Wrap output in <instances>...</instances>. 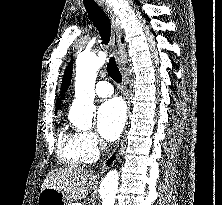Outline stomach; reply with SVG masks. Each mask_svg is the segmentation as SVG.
<instances>
[{"label": "stomach", "mask_w": 222, "mask_h": 205, "mask_svg": "<svg viewBox=\"0 0 222 205\" xmlns=\"http://www.w3.org/2000/svg\"><path fill=\"white\" fill-rule=\"evenodd\" d=\"M38 205H70V199L56 189H42L38 195Z\"/></svg>", "instance_id": "stomach-1"}]
</instances>
